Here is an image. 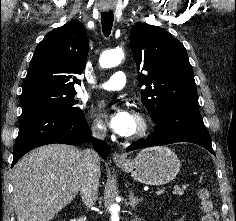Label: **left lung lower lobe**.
Segmentation results:
<instances>
[{
    "mask_svg": "<svg viewBox=\"0 0 236 221\" xmlns=\"http://www.w3.org/2000/svg\"><path fill=\"white\" fill-rule=\"evenodd\" d=\"M175 142L198 144L213 155L211 138L206 130L199 109L191 107H172L167 109L156 123L150 138L129 146L131 151L155 145H167Z\"/></svg>",
    "mask_w": 236,
    "mask_h": 221,
    "instance_id": "0a47b994",
    "label": "left lung lower lobe"
}]
</instances>
